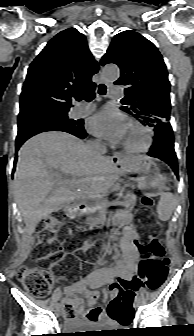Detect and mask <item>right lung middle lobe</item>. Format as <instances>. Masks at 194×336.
Segmentation results:
<instances>
[{
	"mask_svg": "<svg viewBox=\"0 0 194 336\" xmlns=\"http://www.w3.org/2000/svg\"><path fill=\"white\" fill-rule=\"evenodd\" d=\"M67 109H40L18 117V134L39 129H70L81 125L68 117Z\"/></svg>",
	"mask_w": 194,
	"mask_h": 336,
	"instance_id": "right-lung-middle-lobe-1",
	"label": "right lung middle lobe"
}]
</instances>
